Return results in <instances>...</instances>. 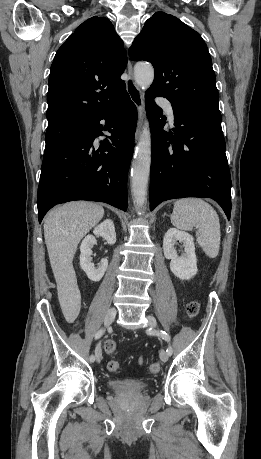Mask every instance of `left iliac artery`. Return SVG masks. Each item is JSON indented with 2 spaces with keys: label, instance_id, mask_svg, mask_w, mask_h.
<instances>
[{
  "label": "left iliac artery",
  "instance_id": "left-iliac-artery-1",
  "mask_svg": "<svg viewBox=\"0 0 261 459\" xmlns=\"http://www.w3.org/2000/svg\"><path fill=\"white\" fill-rule=\"evenodd\" d=\"M147 333L150 334V335H157V336H160L162 339H164L166 342L170 343V337L169 335L165 332V331H155V330H152L151 328L149 330H147ZM167 353L168 355H172L173 353V349L171 347V345L168 346L167 348Z\"/></svg>",
  "mask_w": 261,
  "mask_h": 459
}]
</instances>
